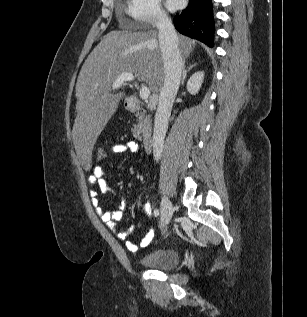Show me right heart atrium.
<instances>
[{"label": "right heart atrium", "mask_w": 307, "mask_h": 317, "mask_svg": "<svg viewBox=\"0 0 307 317\" xmlns=\"http://www.w3.org/2000/svg\"><path fill=\"white\" fill-rule=\"evenodd\" d=\"M127 13L140 24L160 25L167 19L159 0H129Z\"/></svg>", "instance_id": "1"}]
</instances>
